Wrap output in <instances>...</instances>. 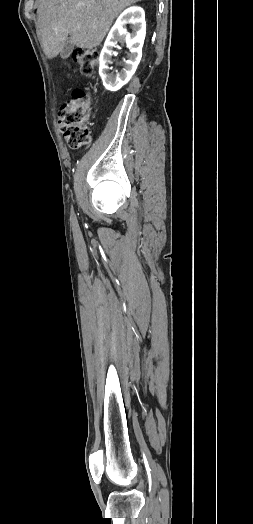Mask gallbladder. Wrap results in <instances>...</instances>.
<instances>
[{
    "label": "gallbladder",
    "mask_w": 253,
    "mask_h": 524,
    "mask_svg": "<svg viewBox=\"0 0 253 524\" xmlns=\"http://www.w3.org/2000/svg\"><path fill=\"white\" fill-rule=\"evenodd\" d=\"M73 49H74V44L71 41V39L68 38L65 41V44L63 45V48L61 50V53H60L61 58L67 59L70 56V54L72 53Z\"/></svg>",
    "instance_id": "gallbladder-1"
}]
</instances>
